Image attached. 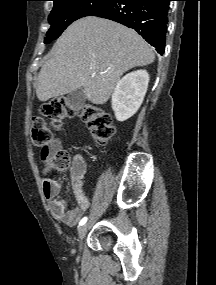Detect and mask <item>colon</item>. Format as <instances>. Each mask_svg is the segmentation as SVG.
Here are the masks:
<instances>
[{
	"instance_id": "1",
	"label": "colon",
	"mask_w": 216,
	"mask_h": 285,
	"mask_svg": "<svg viewBox=\"0 0 216 285\" xmlns=\"http://www.w3.org/2000/svg\"><path fill=\"white\" fill-rule=\"evenodd\" d=\"M42 114L55 129L61 127L64 119L79 115L87 125L94 141L100 145L108 143L115 132L109 114L92 104L74 109L68 105L65 99L56 98L43 105ZM31 138L33 143L42 149L48 148L52 142V132L44 118L33 117ZM70 162V156L64 150L56 153L51 161L53 168L59 171L67 170L70 167Z\"/></svg>"
}]
</instances>
